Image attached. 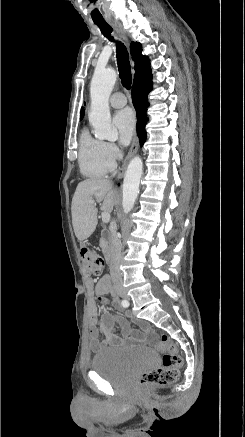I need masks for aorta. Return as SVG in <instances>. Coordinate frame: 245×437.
<instances>
[{
  "mask_svg": "<svg viewBox=\"0 0 245 437\" xmlns=\"http://www.w3.org/2000/svg\"><path fill=\"white\" fill-rule=\"evenodd\" d=\"M116 71L112 68L96 69L90 85L91 110L89 122L94 128L95 137L101 140L115 141L118 132L111 126L109 97L116 82ZM143 163L140 157H134L126 170L123 181L122 207L124 213L130 212L139 193V184Z\"/></svg>",
  "mask_w": 245,
  "mask_h": 437,
  "instance_id": "762f6f07",
  "label": "aorta"
}]
</instances>
